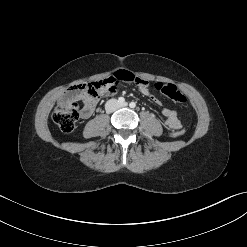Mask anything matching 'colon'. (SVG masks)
<instances>
[{"label":"colon","instance_id":"obj_1","mask_svg":"<svg viewBox=\"0 0 247 247\" xmlns=\"http://www.w3.org/2000/svg\"><path fill=\"white\" fill-rule=\"evenodd\" d=\"M117 79L110 76L103 80L76 86L67 96L54 108L52 120L65 133H70L75 129L79 118V106L75 102L77 93H81L84 102L95 104L99 95L104 90L116 87ZM155 88L173 102L182 104L186 102V97L173 84L156 83ZM183 129H176L172 132L175 138L184 135Z\"/></svg>","mask_w":247,"mask_h":247}]
</instances>
